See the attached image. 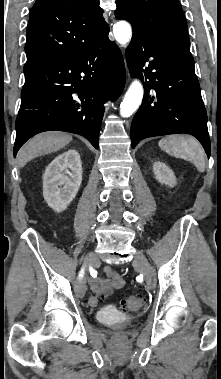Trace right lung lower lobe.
Segmentation results:
<instances>
[{
  "instance_id": "obj_1",
  "label": "right lung lower lobe",
  "mask_w": 221,
  "mask_h": 379,
  "mask_svg": "<svg viewBox=\"0 0 221 379\" xmlns=\"http://www.w3.org/2000/svg\"><path fill=\"white\" fill-rule=\"evenodd\" d=\"M108 33L24 70L14 157L30 137L49 130L82 135L98 149L103 104L121 95L126 79L122 54Z\"/></svg>"
}]
</instances>
